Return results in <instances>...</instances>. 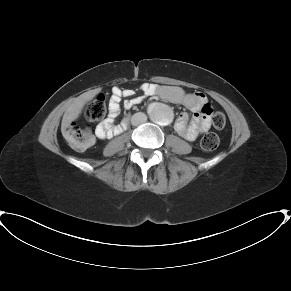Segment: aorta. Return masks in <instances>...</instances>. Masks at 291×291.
<instances>
[{
	"label": "aorta",
	"instance_id": "762f6f07",
	"mask_svg": "<svg viewBox=\"0 0 291 291\" xmlns=\"http://www.w3.org/2000/svg\"><path fill=\"white\" fill-rule=\"evenodd\" d=\"M151 120L161 126L169 125L173 119L171 108L165 104H155L150 110Z\"/></svg>",
	"mask_w": 291,
	"mask_h": 291
}]
</instances>
